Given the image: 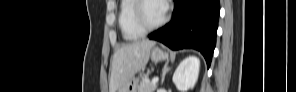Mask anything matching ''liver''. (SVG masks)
Returning <instances> with one entry per match:
<instances>
[{
	"label": "liver",
	"mask_w": 296,
	"mask_h": 92,
	"mask_svg": "<svg viewBox=\"0 0 296 92\" xmlns=\"http://www.w3.org/2000/svg\"><path fill=\"white\" fill-rule=\"evenodd\" d=\"M154 41L138 40L118 48L111 64L109 92L119 91L148 62Z\"/></svg>",
	"instance_id": "1"
}]
</instances>
